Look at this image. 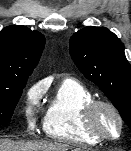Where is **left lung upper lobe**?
I'll list each match as a JSON object with an SVG mask.
<instances>
[{
    "label": "left lung upper lobe",
    "instance_id": "5c2ea615",
    "mask_svg": "<svg viewBox=\"0 0 131 151\" xmlns=\"http://www.w3.org/2000/svg\"><path fill=\"white\" fill-rule=\"evenodd\" d=\"M70 54L84 76L95 83L131 128V65L124 45L105 27H85L70 38Z\"/></svg>",
    "mask_w": 131,
    "mask_h": 151
}]
</instances>
